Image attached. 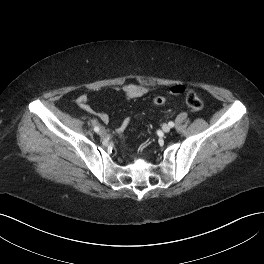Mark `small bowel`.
<instances>
[{
  "instance_id": "c3829d8e",
  "label": "small bowel",
  "mask_w": 264,
  "mask_h": 264,
  "mask_svg": "<svg viewBox=\"0 0 264 264\" xmlns=\"http://www.w3.org/2000/svg\"><path fill=\"white\" fill-rule=\"evenodd\" d=\"M114 90L117 92H120L126 99H134V98L143 97L149 94L151 91V89L147 86L137 85V84H132V83L125 84L120 87H115ZM185 90L186 88L184 85L175 84L169 87L168 93L170 95L176 96V95H180L184 93ZM76 104L80 109L94 115L101 122L103 123L109 122L108 114L102 111L95 110L89 105V98L86 94L79 95L76 99ZM128 123H129V119H125L123 123L121 124V126L118 128V131L124 130L126 126L128 125Z\"/></svg>"
}]
</instances>
